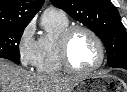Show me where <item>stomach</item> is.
Here are the masks:
<instances>
[{"label":"stomach","instance_id":"stomach-1","mask_svg":"<svg viewBox=\"0 0 127 92\" xmlns=\"http://www.w3.org/2000/svg\"><path fill=\"white\" fill-rule=\"evenodd\" d=\"M109 77L99 73L90 74L81 79L74 92H108Z\"/></svg>","mask_w":127,"mask_h":92}]
</instances>
